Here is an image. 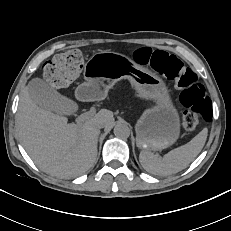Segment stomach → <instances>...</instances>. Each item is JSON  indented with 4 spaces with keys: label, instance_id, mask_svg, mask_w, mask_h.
<instances>
[{
    "label": "stomach",
    "instance_id": "obj_1",
    "mask_svg": "<svg viewBox=\"0 0 231 231\" xmlns=\"http://www.w3.org/2000/svg\"><path fill=\"white\" fill-rule=\"evenodd\" d=\"M83 70L86 82L77 88V96L82 100H102L116 82L127 78L138 97L155 103L137 121L139 148L156 151L177 141L180 135L179 115L158 75L115 52L95 53L84 64Z\"/></svg>",
    "mask_w": 231,
    "mask_h": 231
}]
</instances>
